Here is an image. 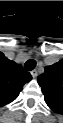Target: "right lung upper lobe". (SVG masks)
Returning <instances> with one entry per match:
<instances>
[{
	"instance_id": "1",
	"label": "right lung upper lobe",
	"mask_w": 63,
	"mask_h": 123,
	"mask_svg": "<svg viewBox=\"0 0 63 123\" xmlns=\"http://www.w3.org/2000/svg\"><path fill=\"white\" fill-rule=\"evenodd\" d=\"M31 75L21 65L3 56L0 74V97L3 104L17 98L23 85L31 80Z\"/></svg>"
}]
</instances>
